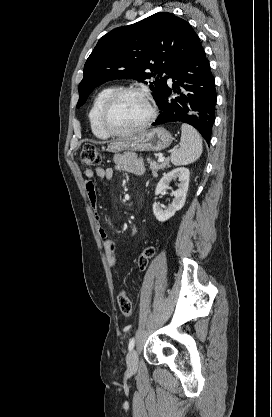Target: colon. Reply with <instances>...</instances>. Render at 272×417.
I'll return each mask as SVG.
<instances>
[{
	"instance_id": "colon-1",
	"label": "colon",
	"mask_w": 272,
	"mask_h": 417,
	"mask_svg": "<svg viewBox=\"0 0 272 417\" xmlns=\"http://www.w3.org/2000/svg\"><path fill=\"white\" fill-rule=\"evenodd\" d=\"M81 162L87 166H98L101 164V156L98 149L92 144H86L80 154ZM115 243L110 242L108 246L109 255L115 258L114 254ZM156 247L149 246L140 255L138 265L141 270H145L148 267L150 259L155 255ZM117 303L121 313L129 317L132 314V304L127 290H122L117 296Z\"/></svg>"
}]
</instances>
